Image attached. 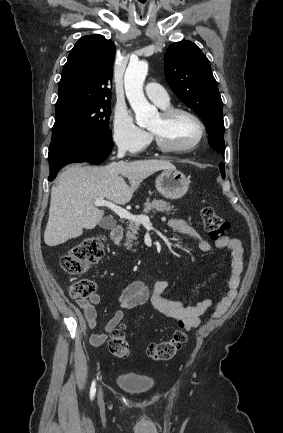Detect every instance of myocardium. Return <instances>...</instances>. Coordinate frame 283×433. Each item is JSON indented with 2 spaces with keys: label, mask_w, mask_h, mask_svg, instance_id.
Masks as SVG:
<instances>
[{
  "label": "myocardium",
  "mask_w": 283,
  "mask_h": 433,
  "mask_svg": "<svg viewBox=\"0 0 283 433\" xmlns=\"http://www.w3.org/2000/svg\"><path fill=\"white\" fill-rule=\"evenodd\" d=\"M180 114L189 115L196 121L199 127V134L197 138L189 145L182 148H177L172 143H170L163 134H158L150 130L156 140L157 150L165 155H182L189 153L195 150L202 143L206 136L207 128L202 118L193 110L185 107H170L164 109L160 113L161 122L164 129H167L173 119Z\"/></svg>",
  "instance_id": "f54148a6"
}]
</instances>
